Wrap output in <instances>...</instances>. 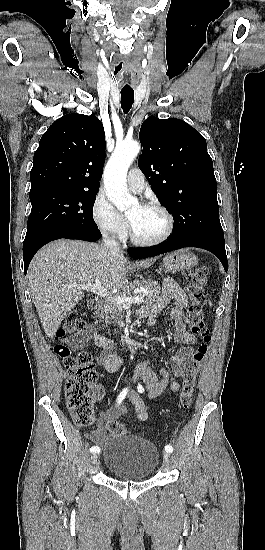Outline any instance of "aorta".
I'll return each instance as SVG.
<instances>
[{
  "label": "aorta",
  "mask_w": 265,
  "mask_h": 550,
  "mask_svg": "<svg viewBox=\"0 0 265 550\" xmlns=\"http://www.w3.org/2000/svg\"><path fill=\"white\" fill-rule=\"evenodd\" d=\"M139 151L140 144L137 141L117 145L104 170L106 194L121 212L137 203V199L128 193L126 176L129 166Z\"/></svg>",
  "instance_id": "1"
}]
</instances>
